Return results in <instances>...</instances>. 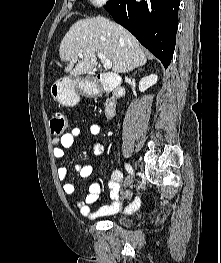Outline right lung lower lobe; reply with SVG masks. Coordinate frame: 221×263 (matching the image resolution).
Returning <instances> with one entry per match:
<instances>
[{"mask_svg":"<svg viewBox=\"0 0 221 263\" xmlns=\"http://www.w3.org/2000/svg\"><path fill=\"white\" fill-rule=\"evenodd\" d=\"M179 5L180 0H109L104 8L167 68L175 48Z\"/></svg>","mask_w":221,"mask_h":263,"instance_id":"98d812e1","label":"right lung lower lobe"}]
</instances>
